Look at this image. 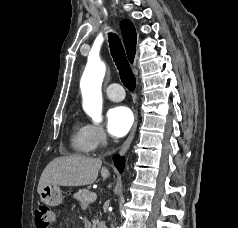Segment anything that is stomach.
I'll return each mask as SVG.
<instances>
[{"label": "stomach", "instance_id": "stomach-1", "mask_svg": "<svg viewBox=\"0 0 238 228\" xmlns=\"http://www.w3.org/2000/svg\"><path fill=\"white\" fill-rule=\"evenodd\" d=\"M40 199L46 205L57 206L63 200L62 191L57 185H46L40 193Z\"/></svg>", "mask_w": 238, "mask_h": 228}]
</instances>
